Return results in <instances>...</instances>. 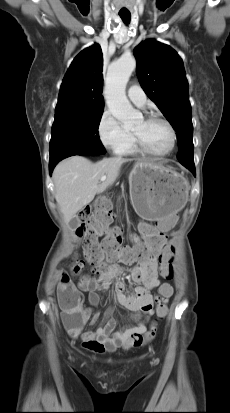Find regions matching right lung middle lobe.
Returning a JSON list of instances; mask_svg holds the SVG:
<instances>
[{"label":"right lung middle lobe","mask_w":230,"mask_h":413,"mask_svg":"<svg viewBox=\"0 0 230 413\" xmlns=\"http://www.w3.org/2000/svg\"><path fill=\"white\" fill-rule=\"evenodd\" d=\"M103 112L55 115L50 141V161L90 152L105 153L98 133Z\"/></svg>","instance_id":"dd1d6c3e"}]
</instances>
